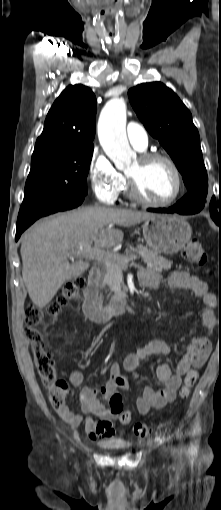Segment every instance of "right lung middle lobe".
Instances as JSON below:
<instances>
[{"instance_id":"right-lung-middle-lobe-1","label":"right lung middle lobe","mask_w":221,"mask_h":510,"mask_svg":"<svg viewBox=\"0 0 221 510\" xmlns=\"http://www.w3.org/2000/svg\"><path fill=\"white\" fill-rule=\"evenodd\" d=\"M93 146L32 157L22 208L32 214L84 198Z\"/></svg>"}]
</instances>
